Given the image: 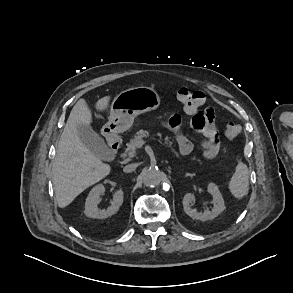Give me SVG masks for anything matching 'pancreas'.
I'll return each mask as SVG.
<instances>
[{"label": "pancreas", "mask_w": 293, "mask_h": 293, "mask_svg": "<svg viewBox=\"0 0 293 293\" xmlns=\"http://www.w3.org/2000/svg\"><path fill=\"white\" fill-rule=\"evenodd\" d=\"M160 139H162V136L159 135ZM143 138L147 139L150 138L151 140H155V138L150 134V131L148 130H140L136 133V135L130 140V142L127 144L126 148V155L129 157L136 156V148L139 141L143 140ZM164 145L171 149V151L175 154L176 157H179V154L175 151V149L172 147V142L169 138L165 139Z\"/></svg>", "instance_id": "pancreas-1"}]
</instances>
